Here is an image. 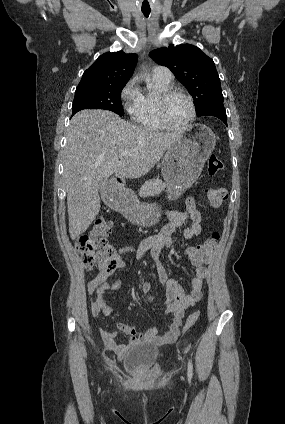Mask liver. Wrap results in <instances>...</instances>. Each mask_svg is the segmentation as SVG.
<instances>
[{"mask_svg":"<svg viewBox=\"0 0 285 424\" xmlns=\"http://www.w3.org/2000/svg\"><path fill=\"white\" fill-rule=\"evenodd\" d=\"M179 137L181 133L138 127L107 110L75 114L63 152L70 238H78L98 215L101 180L113 173L127 178L146 175ZM124 151L126 156H122Z\"/></svg>","mask_w":285,"mask_h":424,"instance_id":"6515ba94","label":"liver"}]
</instances>
